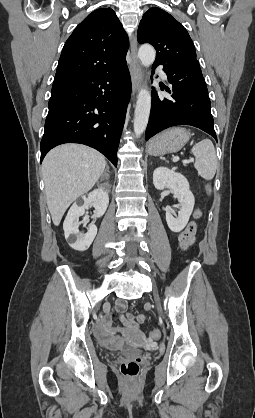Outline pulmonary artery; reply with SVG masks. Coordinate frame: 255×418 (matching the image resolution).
Segmentation results:
<instances>
[{"mask_svg": "<svg viewBox=\"0 0 255 418\" xmlns=\"http://www.w3.org/2000/svg\"><path fill=\"white\" fill-rule=\"evenodd\" d=\"M160 75L162 78L166 79V74L163 71H160Z\"/></svg>", "mask_w": 255, "mask_h": 418, "instance_id": "obj_1", "label": "pulmonary artery"}]
</instances>
